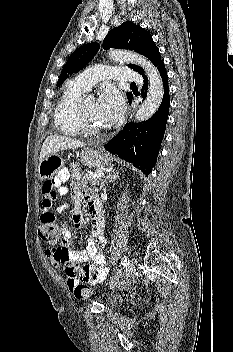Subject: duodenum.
Masks as SVG:
<instances>
[{"mask_svg": "<svg viewBox=\"0 0 233 352\" xmlns=\"http://www.w3.org/2000/svg\"><path fill=\"white\" fill-rule=\"evenodd\" d=\"M93 208H94V210H98L99 209V205L97 203H95Z\"/></svg>", "mask_w": 233, "mask_h": 352, "instance_id": "410a0bca", "label": "duodenum"}]
</instances>
